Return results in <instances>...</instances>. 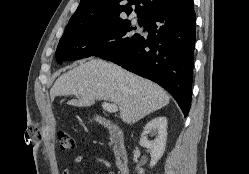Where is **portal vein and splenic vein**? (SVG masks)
Masks as SVG:
<instances>
[{"label":"portal vein and splenic vein","instance_id":"18ae733b","mask_svg":"<svg viewBox=\"0 0 249 174\" xmlns=\"http://www.w3.org/2000/svg\"><path fill=\"white\" fill-rule=\"evenodd\" d=\"M102 107L105 111L109 113H116L118 111V107L116 104L108 103V102H103Z\"/></svg>","mask_w":249,"mask_h":174}]
</instances>
